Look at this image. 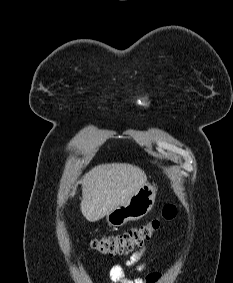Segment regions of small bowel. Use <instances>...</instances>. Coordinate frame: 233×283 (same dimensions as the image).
I'll list each match as a JSON object with an SVG mask.
<instances>
[{
	"mask_svg": "<svg viewBox=\"0 0 233 283\" xmlns=\"http://www.w3.org/2000/svg\"><path fill=\"white\" fill-rule=\"evenodd\" d=\"M145 252L146 248L140 247L131 255L126 264L129 266L135 265L139 272H143L146 269V264L140 263V261L145 255ZM109 275L112 283H156L160 279V274L158 273H152L147 275L145 280L141 278L128 279L125 277L121 265L112 266Z\"/></svg>",
	"mask_w": 233,
	"mask_h": 283,
	"instance_id": "c3829d8e",
	"label": "small bowel"
}]
</instances>
